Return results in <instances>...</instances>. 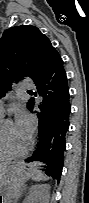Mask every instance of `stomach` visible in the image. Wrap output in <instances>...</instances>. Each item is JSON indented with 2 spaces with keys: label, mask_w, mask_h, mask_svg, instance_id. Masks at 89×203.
I'll return each instance as SVG.
<instances>
[{
  "label": "stomach",
  "mask_w": 89,
  "mask_h": 203,
  "mask_svg": "<svg viewBox=\"0 0 89 203\" xmlns=\"http://www.w3.org/2000/svg\"><path fill=\"white\" fill-rule=\"evenodd\" d=\"M26 179L19 167L12 165L10 166L5 175L2 178V192L4 194V203H14L11 201L13 198H17L20 195L21 187Z\"/></svg>",
  "instance_id": "stomach-1"
}]
</instances>
